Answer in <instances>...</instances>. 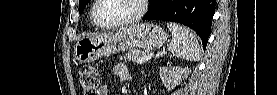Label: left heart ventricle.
Returning <instances> with one entry per match:
<instances>
[{
  "instance_id": "b2bd125f",
  "label": "left heart ventricle",
  "mask_w": 277,
  "mask_h": 95,
  "mask_svg": "<svg viewBox=\"0 0 277 95\" xmlns=\"http://www.w3.org/2000/svg\"><path fill=\"white\" fill-rule=\"evenodd\" d=\"M138 9L139 4L136 0H101L95 14L98 21L109 23L131 17Z\"/></svg>"
}]
</instances>
